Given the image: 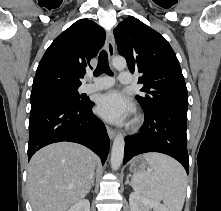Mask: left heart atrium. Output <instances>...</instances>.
<instances>
[{
	"label": "left heart atrium",
	"instance_id": "1",
	"mask_svg": "<svg viewBox=\"0 0 221 211\" xmlns=\"http://www.w3.org/2000/svg\"><path fill=\"white\" fill-rule=\"evenodd\" d=\"M131 110V103L118 91L101 95L96 105V111L101 117L115 123L125 120Z\"/></svg>",
	"mask_w": 221,
	"mask_h": 211
}]
</instances>
